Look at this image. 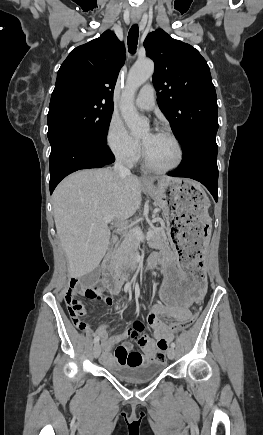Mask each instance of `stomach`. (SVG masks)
Instances as JSON below:
<instances>
[{
  "label": "stomach",
  "instance_id": "0dacf381",
  "mask_svg": "<svg viewBox=\"0 0 263 435\" xmlns=\"http://www.w3.org/2000/svg\"><path fill=\"white\" fill-rule=\"evenodd\" d=\"M150 196L161 208L171 238L174 259L160 262L161 285H156L160 305H200L205 297L208 269L203 256L210 247L213 217L208 216L209 200L199 183L187 178H169L145 183ZM169 192V194L167 193Z\"/></svg>",
  "mask_w": 263,
  "mask_h": 435
}]
</instances>
